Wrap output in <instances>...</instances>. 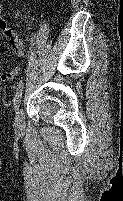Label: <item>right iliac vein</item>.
I'll use <instances>...</instances> for the list:
<instances>
[{
    "instance_id": "1",
    "label": "right iliac vein",
    "mask_w": 123,
    "mask_h": 201,
    "mask_svg": "<svg viewBox=\"0 0 123 201\" xmlns=\"http://www.w3.org/2000/svg\"><path fill=\"white\" fill-rule=\"evenodd\" d=\"M15 126H16L17 129H22V127H23V113H22V108L18 109V111L16 112Z\"/></svg>"
}]
</instances>
